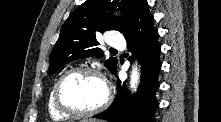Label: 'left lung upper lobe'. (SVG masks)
<instances>
[{
	"label": "left lung upper lobe",
	"mask_w": 221,
	"mask_h": 122,
	"mask_svg": "<svg viewBox=\"0 0 221 122\" xmlns=\"http://www.w3.org/2000/svg\"><path fill=\"white\" fill-rule=\"evenodd\" d=\"M138 0H87L72 12L61 27L60 36L49 58L48 74L55 73L61 66L75 59L85 58L101 52L96 40L97 33L117 30L124 33L131 22ZM118 8L125 20L113 17L112 10ZM102 54H99L101 57ZM105 66L115 74L117 59L110 57Z\"/></svg>",
	"instance_id": "obj_1"
}]
</instances>
